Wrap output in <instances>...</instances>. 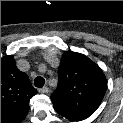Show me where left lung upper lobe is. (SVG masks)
I'll list each match as a JSON object with an SVG mask.
<instances>
[{
	"label": "left lung upper lobe",
	"instance_id": "left-lung-upper-lobe-1",
	"mask_svg": "<svg viewBox=\"0 0 123 123\" xmlns=\"http://www.w3.org/2000/svg\"><path fill=\"white\" fill-rule=\"evenodd\" d=\"M107 89L101 68L83 54L68 51L58 68V87L51 95L54 109L70 121L88 118L99 107Z\"/></svg>",
	"mask_w": 123,
	"mask_h": 123
}]
</instances>
